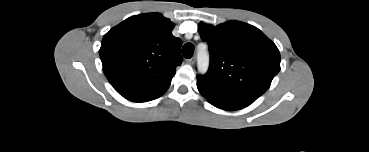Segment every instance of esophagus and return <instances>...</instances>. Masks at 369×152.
I'll list each match as a JSON object with an SVG mask.
<instances>
[{
	"mask_svg": "<svg viewBox=\"0 0 369 152\" xmlns=\"http://www.w3.org/2000/svg\"><path fill=\"white\" fill-rule=\"evenodd\" d=\"M195 61H196V57H195V56H193L192 58H190V59H188V60H187V63H188L189 65H194Z\"/></svg>",
	"mask_w": 369,
	"mask_h": 152,
	"instance_id": "obj_1",
	"label": "esophagus"
}]
</instances>
